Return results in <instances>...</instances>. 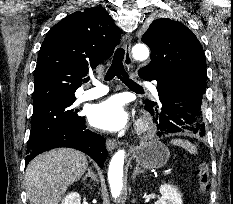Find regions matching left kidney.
Segmentation results:
<instances>
[{
  "instance_id": "left-kidney-1",
  "label": "left kidney",
  "mask_w": 233,
  "mask_h": 204,
  "mask_svg": "<svg viewBox=\"0 0 233 204\" xmlns=\"http://www.w3.org/2000/svg\"><path fill=\"white\" fill-rule=\"evenodd\" d=\"M159 191L161 198L155 204H183L182 195L176 186L164 184L160 186Z\"/></svg>"
}]
</instances>
